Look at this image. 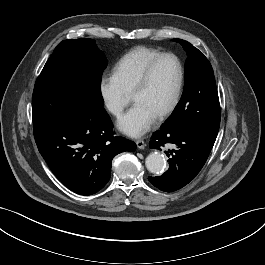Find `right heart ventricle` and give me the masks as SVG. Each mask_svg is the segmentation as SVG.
<instances>
[{
    "label": "right heart ventricle",
    "instance_id": "1",
    "mask_svg": "<svg viewBox=\"0 0 265 265\" xmlns=\"http://www.w3.org/2000/svg\"><path fill=\"white\" fill-rule=\"evenodd\" d=\"M161 54L160 51L139 46L125 53L114 65L112 75L126 94H131L146 65Z\"/></svg>",
    "mask_w": 265,
    "mask_h": 265
}]
</instances>
